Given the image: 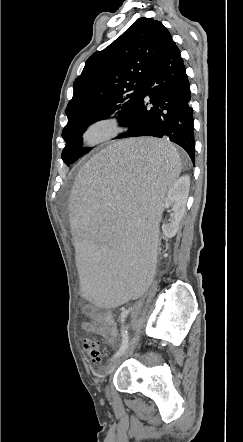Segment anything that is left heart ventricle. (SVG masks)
Here are the masks:
<instances>
[{
	"instance_id": "b2bd125f",
	"label": "left heart ventricle",
	"mask_w": 243,
	"mask_h": 442,
	"mask_svg": "<svg viewBox=\"0 0 243 442\" xmlns=\"http://www.w3.org/2000/svg\"><path fill=\"white\" fill-rule=\"evenodd\" d=\"M108 127L106 126H97L90 130L88 133V138L90 140L98 139L99 137L103 136L105 133H107Z\"/></svg>"
}]
</instances>
